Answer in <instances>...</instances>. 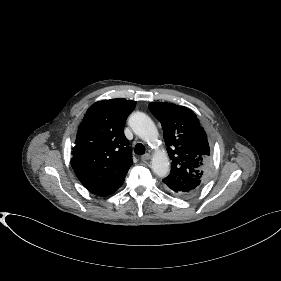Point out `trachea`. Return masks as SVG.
Returning a JSON list of instances; mask_svg holds the SVG:
<instances>
[{"label": "trachea", "mask_w": 281, "mask_h": 281, "mask_svg": "<svg viewBox=\"0 0 281 281\" xmlns=\"http://www.w3.org/2000/svg\"><path fill=\"white\" fill-rule=\"evenodd\" d=\"M135 153L138 154V155L144 154L145 153V146L141 143H138L135 146Z\"/></svg>", "instance_id": "trachea-1"}]
</instances>
